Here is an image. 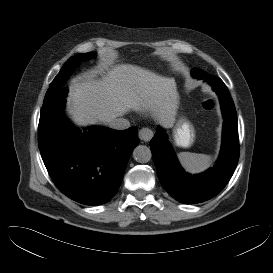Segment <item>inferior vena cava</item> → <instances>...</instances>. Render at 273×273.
Instances as JSON below:
<instances>
[{
	"instance_id": "602c4592",
	"label": "inferior vena cava",
	"mask_w": 273,
	"mask_h": 273,
	"mask_svg": "<svg viewBox=\"0 0 273 273\" xmlns=\"http://www.w3.org/2000/svg\"><path fill=\"white\" fill-rule=\"evenodd\" d=\"M110 127L117 130H124L130 127V122L125 118H116L110 122Z\"/></svg>"
}]
</instances>
